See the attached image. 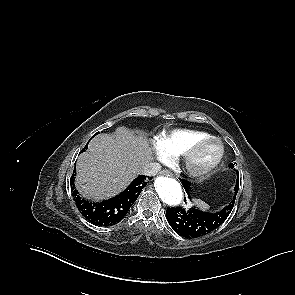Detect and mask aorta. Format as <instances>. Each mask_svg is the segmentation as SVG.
Returning <instances> with one entry per match:
<instances>
[{
    "label": "aorta",
    "mask_w": 295,
    "mask_h": 295,
    "mask_svg": "<svg viewBox=\"0 0 295 295\" xmlns=\"http://www.w3.org/2000/svg\"><path fill=\"white\" fill-rule=\"evenodd\" d=\"M154 187L164 203L172 206L182 203L184 198L183 190L180 183L175 179L159 176L154 181Z\"/></svg>",
    "instance_id": "aorta-1"
}]
</instances>
